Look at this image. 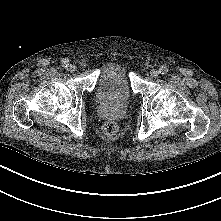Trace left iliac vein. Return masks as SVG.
Returning a JSON list of instances; mask_svg holds the SVG:
<instances>
[{
    "label": "left iliac vein",
    "instance_id": "left-iliac-vein-1",
    "mask_svg": "<svg viewBox=\"0 0 221 221\" xmlns=\"http://www.w3.org/2000/svg\"><path fill=\"white\" fill-rule=\"evenodd\" d=\"M150 76H151L152 78H157V77L159 76V71H158L157 69H152V70L150 71Z\"/></svg>",
    "mask_w": 221,
    "mask_h": 221
}]
</instances>
